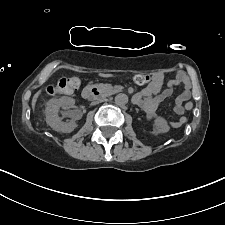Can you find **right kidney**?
Here are the masks:
<instances>
[{
	"label": "right kidney",
	"mask_w": 225,
	"mask_h": 225,
	"mask_svg": "<svg viewBox=\"0 0 225 225\" xmlns=\"http://www.w3.org/2000/svg\"><path fill=\"white\" fill-rule=\"evenodd\" d=\"M74 104L75 100L73 98L65 96L49 100L45 109L47 124L55 131L63 133L72 132L77 127V124L74 121L62 122L58 113L60 108H71Z\"/></svg>",
	"instance_id": "right-kidney-1"
}]
</instances>
